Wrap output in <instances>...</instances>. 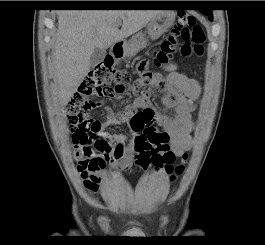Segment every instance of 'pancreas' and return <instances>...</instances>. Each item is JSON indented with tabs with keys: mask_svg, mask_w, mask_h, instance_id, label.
Listing matches in <instances>:
<instances>
[{
	"mask_svg": "<svg viewBox=\"0 0 265 245\" xmlns=\"http://www.w3.org/2000/svg\"><path fill=\"white\" fill-rule=\"evenodd\" d=\"M136 52L135 51H132L131 55L135 54Z\"/></svg>",
	"mask_w": 265,
	"mask_h": 245,
	"instance_id": "1",
	"label": "pancreas"
}]
</instances>
